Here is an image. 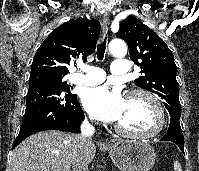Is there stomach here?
<instances>
[{"instance_id": "0dacf381", "label": "stomach", "mask_w": 199, "mask_h": 171, "mask_svg": "<svg viewBox=\"0 0 199 171\" xmlns=\"http://www.w3.org/2000/svg\"><path fill=\"white\" fill-rule=\"evenodd\" d=\"M104 149L121 171H149L156 160L154 149L143 140L119 139Z\"/></svg>"}]
</instances>
